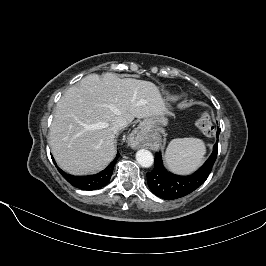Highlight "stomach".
I'll return each instance as SVG.
<instances>
[{
	"instance_id": "0dacf381",
	"label": "stomach",
	"mask_w": 266,
	"mask_h": 266,
	"mask_svg": "<svg viewBox=\"0 0 266 266\" xmlns=\"http://www.w3.org/2000/svg\"><path fill=\"white\" fill-rule=\"evenodd\" d=\"M168 120L164 116L146 118L143 122V130L146 135L150 132L165 126Z\"/></svg>"
}]
</instances>
